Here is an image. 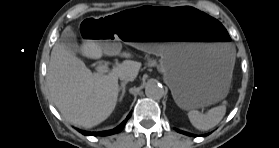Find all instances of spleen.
<instances>
[{
    "label": "spleen",
    "mask_w": 279,
    "mask_h": 148,
    "mask_svg": "<svg viewBox=\"0 0 279 148\" xmlns=\"http://www.w3.org/2000/svg\"><path fill=\"white\" fill-rule=\"evenodd\" d=\"M226 113V106L220 105L211 108L206 114H202L197 110L189 111L188 117L191 124L198 130L207 131L216 125L223 119Z\"/></svg>",
    "instance_id": "obj_1"
}]
</instances>
